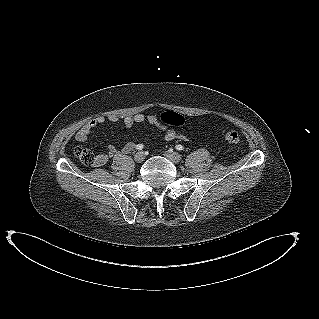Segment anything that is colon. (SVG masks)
Instances as JSON below:
<instances>
[{"instance_id":"1","label":"colon","mask_w":319,"mask_h":319,"mask_svg":"<svg viewBox=\"0 0 319 319\" xmlns=\"http://www.w3.org/2000/svg\"><path fill=\"white\" fill-rule=\"evenodd\" d=\"M159 121L166 126L179 127L183 125L184 118L181 114L168 111L159 116ZM224 139L230 143H237L239 141V134L233 128H225L222 131ZM75 155L86 165H91L95 161V155L87 148L77 146L74 148Z\"/></svg>"}]
</instances>
